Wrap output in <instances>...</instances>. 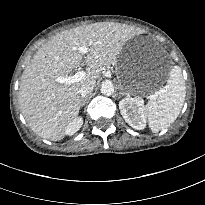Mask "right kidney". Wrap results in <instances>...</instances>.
Listing matches in <instances>:
<instances>
[{
    "label": "right kidney",
    "instance_id": "ca27d5eb",
    "mask_svg": "<svg viewBox=\"0 0 205 205\" xmlns=\"http://www.w3.org/2000/svg\"><path fill=\"white\" fill-rule=\"evenodd\" d=\"M82 124H83L82 117H77L71 123H69V125L66 127V134L73 135L80 129Z\"/></svg>",
    "mask_w": 205,
    "mask_h": 205
}]
</instances>
